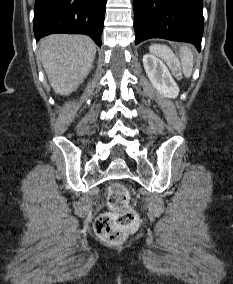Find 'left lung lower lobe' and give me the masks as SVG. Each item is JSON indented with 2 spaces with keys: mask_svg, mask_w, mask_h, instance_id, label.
I'll use <instances>...</instances> for the list:
<instances>
[{
  "mask_svg": "<svg viewBox=\"0 0 233 284\" xmlns=\"http://www.w3.org/2000/svg\"><path fill=\"white\" fill-rule=\"evenodd\" d=\"M135 44L150 38L184 41L200 51L203 0H133Z\"/></svg>",
  "mask_w": 233,
  "mask_h": 284,
  "instance_id": "left-lung-lower-lobe-1",
  "label": "left lung lower lobe"
}]
</instances>
